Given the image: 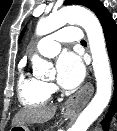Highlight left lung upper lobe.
<instances>
[{"mask_svg":"<svg viewBox=\"0 0 117 131\" xmlns=\"http://www.w3.org/2000/svg\"><path fill=\"white\" fill-rule=\"evenodd\" d=\"M72 4L85 6L91 9L96 15L102 8H104L103 4L97 0H65L64 2V5H72ZM22 34L20 38L22 37Z\"/></svg>","mask_w":117,"mask_h":131,"instance_id":"1","label":"left lung upper lobe"}]
</instances>
